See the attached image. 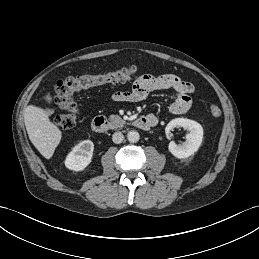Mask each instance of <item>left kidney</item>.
<instances>
[{
    "instance_id": "5707ae66",
    "label": "left kidney",
    "mask_w": 259,
    "mask_h": 259,
    "mask_svg": "<svg viewBox=\"0 0 259 259\" xmlns=\"http://www.w3.org/2000/svg\"><path fill=\"white\" fill-rule=\"evenodd\" d=\"M178 127H183L184 129L189 130V134L186 136V142L183 145H177L171 141L168 149L176 158H188L194 155V153L197 152L201 146L203 139V128L196 121L186 118H175L171 120L165 128L167 136L173 128Z\"/></svg>"
}]
</instances>
